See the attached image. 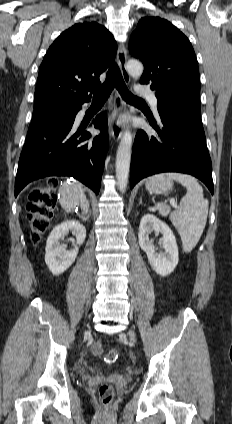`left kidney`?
Instances as JSON below:
<instances>
[{"label": "left kidney", "mask_w": 232, "mask_h": 424, "mask_svg": "<svg viewBox=\"0 0 232 424\" xmlns=\"http://www.w3.org/2000/svg\"><path fill=\"white\" fill-rule=\"evenodd\" d=\"M153 231L163 236L161 244L165 250L163 253H157L149 239ZM138 239L141 249L147 254L150 266L157 274L164 277L174 271L178 264V247L175 236L166 223L154 215H144L140 221Z\"/></svg>", "instance_id": "obj_1"}]
</instances>
